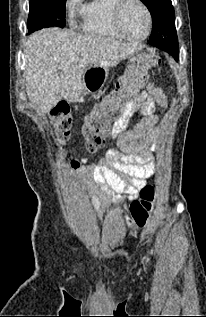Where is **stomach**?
I'll return each instance as SVG.
<instances>
[{
	"mask_svg": "<svg viewBox=\"0 0 206 317\" xmlns=\"http://www.w3.org/2000/svg\"><path fill=\"white\" fill-rule=\"evenodd\" d=\"M139 57H151L148 53H139L129 58L130 63H124L123 69L136 68ZM83 81L80 82L83 94H107L116 87L118 73L107 65L93 64L85 72L81 73ZM82 100V98H81Z\"/></svg>",
	"mask_w": 206,
	"mask_h": 317,
	"instance_id": "0dacf381",
	"label": "stomach"
}]
</instances>
